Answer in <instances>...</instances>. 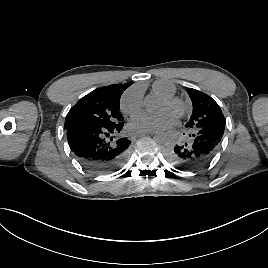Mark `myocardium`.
I'll return each mask as SVG.
<instances>
[{"mask_svg": "<svg viewBox=\"0 0 268 268\" xmlns=\"http://www.w3.org/2000/svg\"><path fill=\"white\" fill-rule=\"evenodd\" d=\"M164 101L174 109L178 117H183L188 112V104L185 100L177 96L165 97Z\"/></svg>", "mask_w": 268, "mask_h": 268, "instance_id": "obj_1", "label": "myocardium"}]
</instances>
